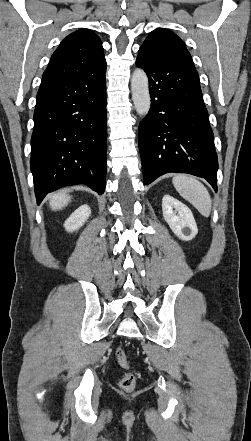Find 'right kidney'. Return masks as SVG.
<instances>
[{"mask_svg": "<svg viewBox=\"0 0 251 441\" xmlns=\"http://www.w3.org/2000/svg\"><path fill=\"white\" fill-rule=\"evenodd\" d=\"M91 214L88 205H82L76 209L70 217L65 221L64 227L68 232H74L84 225Z\"/></svg>", "mask_w": 251, "mask_h": 441, "instance_id": "obj_1", "label": "right kidney"}]
</instances>
